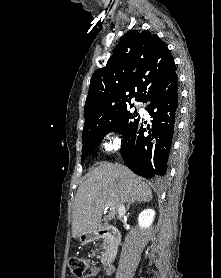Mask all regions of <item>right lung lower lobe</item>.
Wrapping results in <instances>:
<instances>
[{
  "instance_id": "obj_1",
  "label": "right lung lower lobe",
  "mask_w": 221,
  "mask_h": 278,
  "mask_svg": "<svg viewBox=\"0 0 221 278\" xmlns=\"http://www.w3.org/2000/svg\"><path fill=\"white\" fill-rule=\"evenodd\" d=\"M152 120V129L147 133L143 120L124 137L121 155L127 166L145 178L164 176L178 116V81L174 73L153 88L143 100Z\"/></svg>"
}]
</instances>
